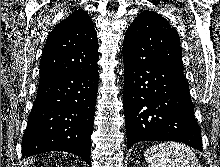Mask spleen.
<instances>
[{
    "label": "spleen",
    "mask_w": 220,
    "mask_h": 167,
    "mask_svg": "<svg viewBox=\"0 0 220 167\" xmlns=\"http://www.w3.org/2000/svg\"><path fill=\"white\" fill-rule=\"evenodd\" d=\"M148 167H201L192 149L177 142H166L146 150Z\"/></svg>",
    "instance_id": "obj_1"
}]
</instances>
